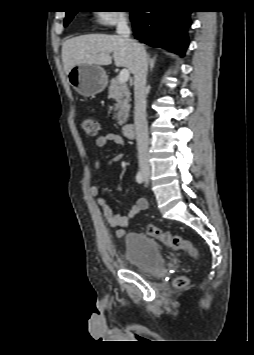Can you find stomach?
I'll return each mask as SVG.
<instances>
[{
  "mask_svg": "<svg viewBox=\"0 0 254 355\" xmlns=\"http://www.w3.org/2000/svg\"><path fill=\"white\" fill-rule=\"evenodd\" d=\"M69 84L82 96L90 97L102 92L107 85L105 70L95 64H80L67 74Z\"/></svg>",
  "mask_w": 254,
  "mask_h": 355,
  "instance_id": "1",
  "label": "stomach"
}]
</instances>
